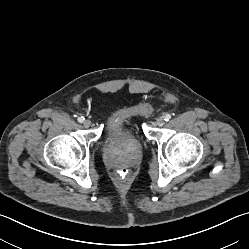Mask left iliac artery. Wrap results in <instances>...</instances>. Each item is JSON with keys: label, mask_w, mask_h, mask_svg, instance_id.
Segmentation results:
<instances>
[{"label": "left iliac artery", "mask_w": 249, "mask_h": 249, "mask_svg": "<svg viewBox=\"0 0 249 249\" xmlns=\"http://www.w3.org/2000/svg\"><path fill=\"white\" fill-rule=\"evenodd\" d=\"M171 119V115L170 114H165L164 115V120L165 121H169Z\"/></svg>", "instance_id": "left-iliac-artery-1"}]
</instances>
